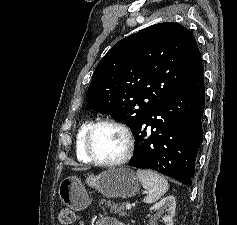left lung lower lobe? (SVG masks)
<instances>
[{
    "instance_id": "obj_1",
    "label": "left lung lower lobe",
    "mask_w": 237,
    "mask_h": 225,
    "mask_svg": "<svg viewBox=\"0 0 237 225\" xmlns=\"http://www.w3.org/2000/svg\"><path fill=\"white\" fill-rule=\"evenodd\" d=\"M204 106L203 81L158 102L133 131L129 166L153 169L191 186Z\"/></svg>"
}]
</instances>
